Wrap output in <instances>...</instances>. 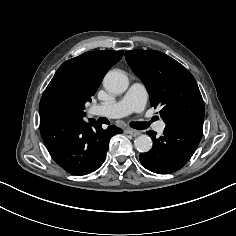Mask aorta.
<instances>
[{
  "instance_id": "obj_1",
  "label": "aorta",
  "mask_w": 236,
  "mask_h": 236,
  "mask_svg": "<svg viewBox=\"0 0 236 236\" xmlns=\"http://www.w3.org/2000/svg\"><path fill=\"white\" fill-rule=\"evenodd\" d=\"M103 85L108 92L121 94L127 90L129 80L124 72L120 70H112L105 75ZM152 144L151 138L146 134L138 136L134 141L135 148L142 153L150 151Z\"/></svg>"
}]
</instances>
